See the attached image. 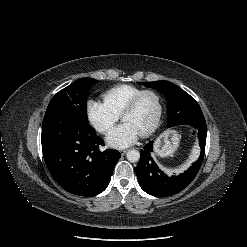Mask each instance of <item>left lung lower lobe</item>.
I'll return each mask as SVG.
<instances>
[{"mask_svg": "<svg viewBox=\"0 0 247 247\" xmlns=\"http://www.w3.org/2000/svg\"><path fill=\"white\" fill-rule=\"evenodd\" d=\"M193 134L199 140L201 148L199 159L192 166L178 176H167L151 157L152 142L144 146L136 167L139 185L148 194L156 197H166L177 194L187 187L197 175L202 164L206 144V124L197 125Z\"/></svg>", "mask_w": 247, "mask_h": 247, "instance_id": "0a47b994", "label": "left lung lower lobe"}]
</instances>
